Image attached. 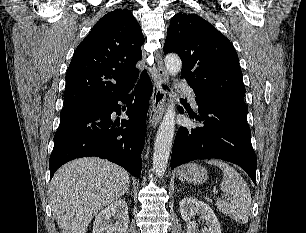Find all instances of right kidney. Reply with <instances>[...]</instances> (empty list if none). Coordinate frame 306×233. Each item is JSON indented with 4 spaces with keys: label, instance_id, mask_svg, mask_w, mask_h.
<instances>
[{
    "label": "right kidney",
    "instance_id": "1",
    "mask_svg": "<svg viewBox=\"0 0 306 233\" xmlns=\"http://www.w3.org/2000/svg\"><path fill=\"white\" fill-rule=\"evenodd\" d=\"M112 218L116 220L111 223ZM129 224L128 206L119 199L103 209L95 218L93 233H127Z\"/></svg>",
    "mask_w": 306,
    "mask_h": 233
}]
</instances>
